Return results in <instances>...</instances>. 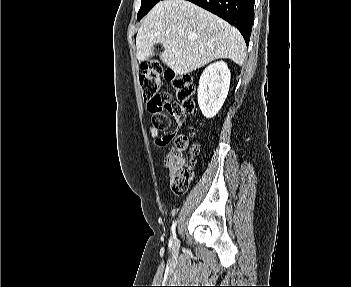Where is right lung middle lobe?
Segmentation results:
<instances>
[{"instance_id":"obj_1","label":"right lung middle lobe","mask_w":351,"mask_h":287,"mask_svg":"<svg viewBox=\"0 0 351 287\" xmlns=\"http://www.w3.org/2000/svg\"><path fill=\"white\" fill-rule=\"evenodd\" d=\"M160 0H142L137 19L140 20L145 16Z\"/></svg>"}]
</instances>
